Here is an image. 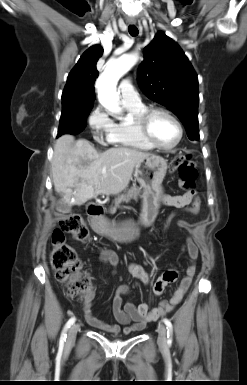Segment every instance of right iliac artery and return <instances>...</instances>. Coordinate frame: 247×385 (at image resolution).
Instances as JSON below:
<instances>
[{"label": "right iliac artery", "instance_id": "82829eb1", "mask_svg": "<svg viewBox=\"0 0 247 385\" xmlns=\"http://www.w3.org/2000/svg\"><path fill=\"white\" fill-rule=\"evenodd\" d=\"M75 322V317H72L68 320V322L66 323L63 331H62V334H61V337H60V345H63L64 342L66 341V338H67V330L70 328L71 325H73Z\"/></svg>", "mask_w": 247, "mask_h": 385}]
</instances>
